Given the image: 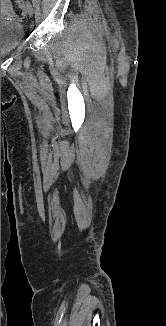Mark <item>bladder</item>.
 <instances>
[{
	"mask_svg": "<svg viewBox=\"0 0 166 326\" xmlns=\"http://www.w3.org/2000/svg\"><path fill=\"white\" fill-rule=\"evenodd\" d=\"M1 9H11L10 5H3ZM24 29L15 19L8 21L1 20V55L8 54L15 50L23 41Z\"/></svg>",
	"mask_w": 166,
	"mask_h": 326,
	"instance_id": "obj_1",
	"label": "bladder"
}]
</instances>
